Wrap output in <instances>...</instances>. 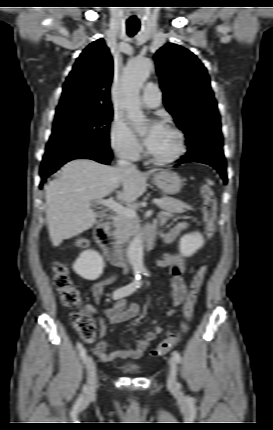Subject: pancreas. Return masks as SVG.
<instances>
[{"label":"pancreas","instance_id":"cf45deb5","mask_svg":"<svg viewBox=\"0 0 273 430\" xmlns=\"http://www.w3.org/2000/svg\"><path fill=\"white\" fill-rule=\"evenodd\" d=\"M163 203L159 207L169 212L182 213L186 210H194V208L180 200L172 197L165 196L162 198ZM136 209L137 206L134 204L131 206ZM139 225V218L128 217L125 215L118 214L114 217L113 226L115 228L114 235L120 242L127 240L133 233L134 229Z\"/></svg>","mask_w":273,"mask_h":430}]
</instances>
